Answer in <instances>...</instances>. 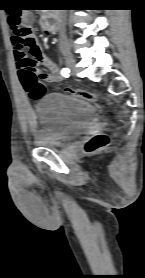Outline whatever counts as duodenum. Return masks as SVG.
<instances>
[{
  "mask_svg": "<svg viewBox=\"0 0 145 278\" xmlns=\"http://www.w3.org/2000/svg\"><path fill=\"white\" fill-rule=\"evenodd\" d=\"M41 24L50 33H56L59 29V24L57 19L52 14H46L41 18Z\"/></svg>",
  "mask_w": 145,
  "mask_h": 278,
  "instance_id": "obj_1",
  "label": "duodenum"
}]
</instances>
